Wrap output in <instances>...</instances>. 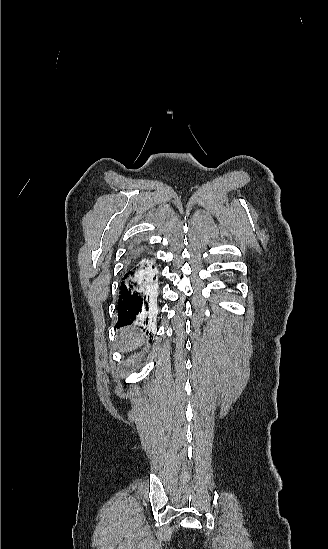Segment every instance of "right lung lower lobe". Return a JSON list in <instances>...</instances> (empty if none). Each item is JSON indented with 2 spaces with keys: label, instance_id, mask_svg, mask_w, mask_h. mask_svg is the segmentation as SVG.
Masks as SVG:
<instances>
[{
  "label": "right lung lower lobe",
  "instance_id": "98d812e1",
  "mask_svg": "<svg viewBox=\"0 0 328 549\" xmlns=\"http://www.w3.org/2000/svg\"><path fill=\"white\" fill-rule=\"evenodd\" d=\"M155 278L153 260L146 256L131 258L120 287L117 328L135 320L148 324L149 292L155 287Z\"/></svg>",
  "mask_w": 328,
  "mask_h": 549
}]
</instances>
